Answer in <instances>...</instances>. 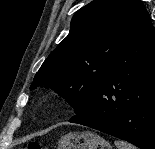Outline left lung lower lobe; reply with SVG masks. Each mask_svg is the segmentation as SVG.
Wrapping results in <instances>:
<instances>
[{
	"instance_id": "0a47b994",
	"label": "left lung lower lobe",
	"mask_w": 155,
	"mask_h": 149,
	"mask_svg": "<svg viewBox=\"0 0 155 149\" xmlns=\"http://www.w3.org/2000/svg\"><path fill=\"white\" fill-rule=\"evenodd\" d=\"M69 122L155 149V30L148 13Z\"/></svg>"
}]
</instances>
